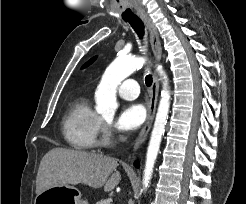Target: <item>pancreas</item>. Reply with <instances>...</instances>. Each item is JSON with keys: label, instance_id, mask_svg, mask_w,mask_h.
<instances>
[{"label": "pancreas", "instance_id": "obj_1", "mask_svg": "<svg viewBox=\"0 0 246 204\" xmlns=\"http://www.w3.org/2000/svg\"><path fill=\"white\" fill-rule=\"evenodd\" d=\"M111 199H102L98 201L96 204H111Z\"/></svg>", "mask_w": 246, "mask_h": 204}]
</instances>
